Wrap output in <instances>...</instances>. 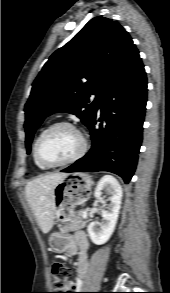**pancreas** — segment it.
Returning <instances> with one entry per match:
<instances>
[{"mask_svg": "<svg viewBox=\"0 0 170 293\" xmlns=\"http://www.w3.org/2000/svg\"><path fill=\"white\" fill-rule=\"evenodd\" d=\"M87 221L83 218V213L81 211L75 212L71 220L64 226L65 230H78L86 226Z\"/></svg>", "mask_w": 170, "mask_h": 293, "instance_id": "pancreas-1", "label": "pancreas"}]
</instances>
